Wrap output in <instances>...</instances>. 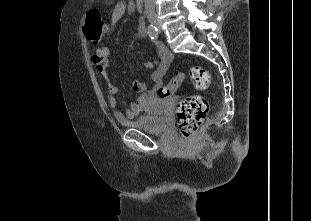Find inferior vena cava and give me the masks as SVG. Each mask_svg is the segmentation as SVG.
Returning <instances> with one entry per match:
<instances>
[{
    "label": "inferior vena cava",
    "instance_id": "1",
    "mask_svg": "<svg viewBox=\"0 0 311 221\" xmlns=\"http://www.w3.org/2000/svg\"><path fill=\"white\" fill-rule=\"evenodd\" d=\"M144 4L147 16H155L154 0H144Z\"/></svg>",
    "mask_w": 311,
    "mask_h": 221
}]
</instances>
